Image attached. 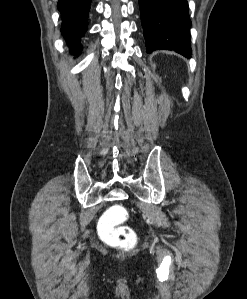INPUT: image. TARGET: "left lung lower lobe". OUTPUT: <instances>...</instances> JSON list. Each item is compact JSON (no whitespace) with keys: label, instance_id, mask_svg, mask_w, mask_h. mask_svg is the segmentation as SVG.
I'll return each instance as SVG.
<instances>
[{"label":"left lung lower lobe","instance_id":"left-lung-lower-lobe-1","mask_svg":"<svg viewBox=\"0 0 247 299\" xmlns=\"http://www.w3.org/2000/svg\"><path fill=\"white\" fill-rule=\"evenodd\" d=\"M139 7L149 53L163 49L191 57L187 0H139Z\"/></svg>","mask_w":247,"mask_h":299}]
</instances>
